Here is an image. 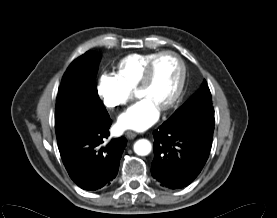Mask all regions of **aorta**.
Segmentation results:
<instances>
[{
  "instance_id": "aorta-1",
  "label": "aorta",
  "mask_w": 277,
  "mask_h": 218,
  "mask_svg": "<svg viewBox=\"0 0 277 218\" xmlns=\"http://www.w3.org/2000/svg\"><path fill=\"white\" fill-rule=\"evenodd\" d=\"M152 145L147 139H139L134 144V152L139 156H146L151 152Z\"/></svg>"
}]
</instances>
